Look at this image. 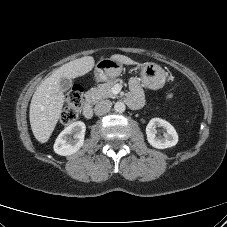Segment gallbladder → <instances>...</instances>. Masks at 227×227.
<instances>
[{
	"label": "gallbladder",
	"mask_w": 227,
	"mask_h": 227,
	"mask_svg": "<svg viewBox=\"0 0 227 227\" xmlns=\"http://www.w3.org/2000/svg\"><path fill=\"white\" fill-rule=\"evenodd\" d=\"M60 86L63 91H67L68 89L71 88L72 86V81L71 79L68 78H61L60 79Z\"/></svg>",
	"instance_id": "gallbladder-1"
}]
</instances>
